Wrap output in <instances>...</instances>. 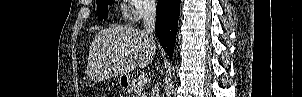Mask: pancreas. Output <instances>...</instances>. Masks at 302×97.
<instances>
[{
	"instance_id": "cf45deb5",
	"label": "pancreas",
	"mask_w": 302,
	"mask_h": 97,
	"mask_svg": "<svg viewBox=\"0 0 302 97\" xmlns=\"http://www.w3.org/2000/svg\"><path fill=\"white\" fill-rule=\"evenodd\" d=\"M131 97H145L142 86H139L137 83H133L130 88Z\"/></svg>"
}]
</instances>
